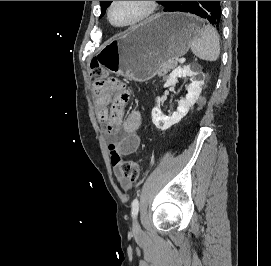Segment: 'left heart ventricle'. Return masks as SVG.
<instances>
[{
    "instance_id": "1",
    "label": "left heart ventricle",
    "mask_w": 271,
    "mask_h": 266,
    "mask_svg": "<svg viewBox=\"0 0 271 266\" xmlns=\"http://www.w3.org/2000/svg\"><path fill=\"white\" fill-rule=\"evenodd\" d=\"M144 10V1H116L111 16L114 23L123 25L136 20Z\"/></svg>"
}]
</instances>
